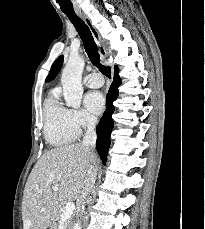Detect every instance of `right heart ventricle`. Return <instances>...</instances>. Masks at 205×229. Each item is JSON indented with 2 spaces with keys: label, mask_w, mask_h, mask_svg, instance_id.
<instances>
[{
  "label": "right heart ventricle",
  "mask_w": 205,
  "mask_h": 229,
  "mask_svg": "<svg viewBox=\"0 0 205 229\" xmlns=\"http://www.w3.org/2000/svg\"><path fill=\"white\" fill-rule=\"evenodd\" d=\"M44 136L55 147L75 141L79 135L71 123L69 109L64 107L57 94H50L44 102Z\"/></svg>",
  "instance_id": "obj_1"
}]
</instances>
